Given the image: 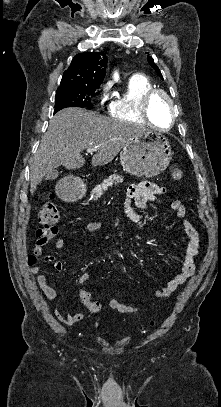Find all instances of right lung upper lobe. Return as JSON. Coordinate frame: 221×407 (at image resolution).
<instances>
[{
    "label": "right lung upper lobe",
    "instance_id": "cb5924a9",
    "mask_svg": "<svg viewBox=\"0 0 221 407\" xmlns=\"http://www.w3.org/2000/svg\"><path fill=\"white\" fill-rule=\"evenodd\" d=\"M107 57L101 52L77 54L63 73L59 88H98L106 74Z\"/></svg>",
    "mask_w": 221,
    "mask_h": 407
}]
</instances>
